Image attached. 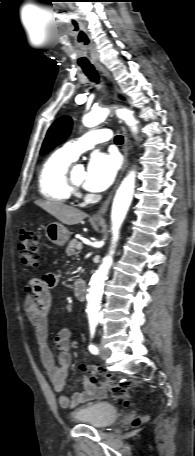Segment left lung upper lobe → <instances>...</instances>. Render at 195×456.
Returning a JSON list of instances; mask_svg holds the SVG:
<instances>
[{"label": "left lung upper lobe", "instance_id": "1", "mask_svg": "<svg viewBox=\"0 0 195 456\" xmlns=\"http://www.w3.org/2000/svg\"><path fill=\"white\" fill-rule=\"evenodd\" d=\"M72 128L71 118L62 116L57 119L47 132L42 144L41 155H45L54 147L61 144L70 134Z\"/></svg>", "mask_w": 195, "mask_h": 456}]
</instances>
